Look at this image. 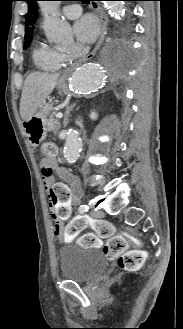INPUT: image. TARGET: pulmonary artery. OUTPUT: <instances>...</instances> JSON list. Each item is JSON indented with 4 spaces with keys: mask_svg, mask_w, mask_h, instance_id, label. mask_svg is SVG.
Masks as SVG:
<instances>
[{
    "mask_svg": "<svg viewBox=\"0 0 183 329\" xmlns=\"http://www.w3.org/2000/svg\"><path fill=\"white\" fill-rule=\"evenodd\" d=\"M63 15L68 19H74L82 13V7L79 4L65 5L62 9Z\"/></svg>",
    "mask_w": 183,
    "mask_h": 329,
    "instance_id": "1",
    "label": "pulmonary artery"
}]
</instances>
